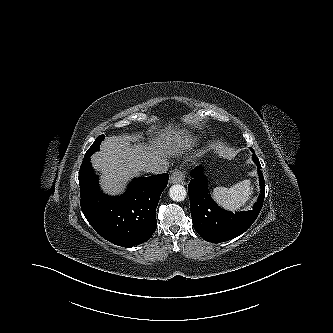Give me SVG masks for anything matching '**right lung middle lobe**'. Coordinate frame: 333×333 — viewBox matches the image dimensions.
Returning a JSON list of instances; mask_svg holds the SVG:
<instances>
[{
    "mask_svg": "<svg viewBox=\"0 0 333 333\" xmlns=\"http://www.w3.org/2000/svg\"><path fill=\"white\" fill-rule=\"evenodd\" d=\"M104 139V135H100L97 137V139L95 140V142L91 145V147L87 150L85 156H84V159H83V162H82V165H81V168L82 169L83 167H85L87 165V159L90 158V156L99 150V144L100 142Z\"/></svg>",
    "mask_w": 333,
    "mask_h": 333,
    "instance_id": "obj_1",
    "label": "right lung middle lobe"
}]
</instances>
